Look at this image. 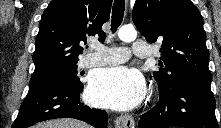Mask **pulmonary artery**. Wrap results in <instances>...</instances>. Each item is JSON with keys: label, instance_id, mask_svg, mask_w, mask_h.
<instances>
[{"label": "pulmonary artery", "instance_id": "e3ab8cb5", "mask_svg": "<svg viewBox=\"0 0 221 128\" xmlns=\"http://www.w3.org/2000/svg\"><path fill=\"white\" fill-rule=\"evenodd\" d=\"M93 51H89L81 60V67L106 66L121 63L131 57L147 58L152 53V47L145 40L132 42V50L127 47H106L101 44L92 46Z\"/></svg>", "mask_w": 221, "mask_h": 128}]
</instances>
